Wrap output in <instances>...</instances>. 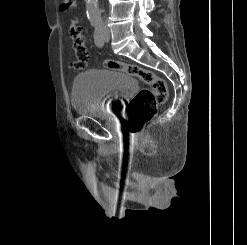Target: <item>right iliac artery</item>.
Segmentation results:
<instances>
[{
    "instance_id": "right-iliac-artery-1",
    "label": "right iliac artery",
    "mask_w": 247,
    "mask_h": 245,
    "mask_svg": "<svg viewBox=\"0 0 247 245\" xmlns=\"http://www.w3.org/2000/svg\"><path fill=\"white\" fill-rule=\"evenodd\" d=\"M94 41L97 47H103L104 45V37H103V29L101 26L96 27L94 31Z\"/></svg>"
}]
</instances>
